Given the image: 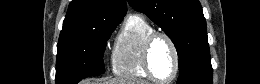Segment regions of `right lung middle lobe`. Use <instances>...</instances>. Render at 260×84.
<instances>
[{"label":"right lung middle lobe","instance_id":"1","mask_svg":"<svg viewBox=\"0 0 260 84\" xmlns=\"http://www.w3.org/2000/svg\"><path fill=\"white\" fill-rule=\"evenodd\" d=\"M120 22H100L89 28L84 37L59 40L56 83L77 84L85 77L103 74L107 40Z\"/></svg>","mask_w":260,"mask_h":84}]
</instances>
